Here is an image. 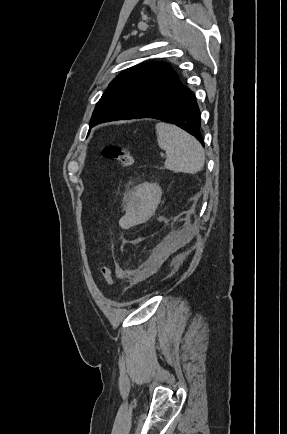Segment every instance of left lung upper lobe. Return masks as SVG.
Here are the masks:
<instances>
[{
  "instance_id": "5c2ea615",
  "label": "left lung upper lobe",
  "mask_w": 287,
  "mask_h": 434,
  "mask_svg": "<svg viewBox=\"0 0 287 434\" xmlns=\"http://www.w3.org/2000/svg\"><path fill=\"white\" fill-rule=\"evenodd\" d=\"M182 86L165 63L141 64L120 73L98 101L90 127L101 122L130 119L141 108L160 101Z\"/></svg>"
}]
</instances>
